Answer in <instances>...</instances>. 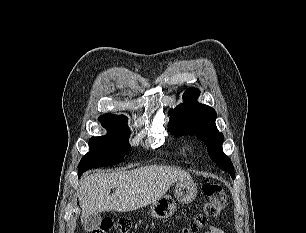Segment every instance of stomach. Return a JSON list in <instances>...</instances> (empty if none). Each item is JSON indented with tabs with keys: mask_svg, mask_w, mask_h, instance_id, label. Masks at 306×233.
I'll return each instance as SVG.
<instances>
[{
	"mask_svg": "<svg viewBox=\"0 0 306 233\" xmlns=\"http://www.w3.org/2000/svg\"><path fill=\"white\" fill-rule=\"evenodd\" d=\"M197 195V186L192 180H181L176 182L175 199L170 195L162 196L152 203L150 207L151 215L155 218L165 219L170 217L176 210V201L181 204L192 202Z\"/></svg>",
	"mask_w": 306,
	"mask_h": 233,
	"instance_id": "stomach-1",
	"label": "stomach"
}]
</instances>
